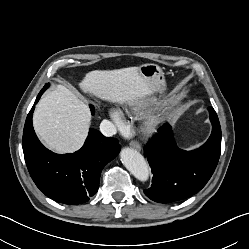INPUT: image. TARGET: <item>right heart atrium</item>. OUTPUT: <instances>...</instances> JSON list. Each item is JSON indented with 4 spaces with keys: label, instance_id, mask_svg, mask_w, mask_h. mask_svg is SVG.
<instances>
[{
    "label": "right heart atrium",
    "instance_id": "1",
    "mask_svg": "<svg viewBox=\"0 0 249 249\" xmlns=\"http://www.w3.org/2000/svg\"><path fill=\"white\" fill-rule=\"evenodd\" d=\"M110 116L117 125H122L121 115L117 111H111Z\"/></svg>",
    "mask_w": 249,
    "mask_h": 249
}]
</instances>
